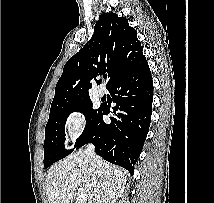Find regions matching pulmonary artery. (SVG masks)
Wrapping results in <instances>:
<instances>
[{
    "instance_id": "e3ab8cb5",
    "label": "pulmonary artery",
    "mask_w": 214,
    "mask_h": 203,
    "mask_svg": "<svg viewBox=\"0 0 214 203\" xmlns=\"http://www.w3.org/2000/svg\"><path fill=\"white\" fill-rule=\"evenodd\" d=\"M105 93H106L105 88L102 87V86H100V87L98 88V95H99L100 97H103V96L105 95Z\"/></svg>"
}]
</instances>
